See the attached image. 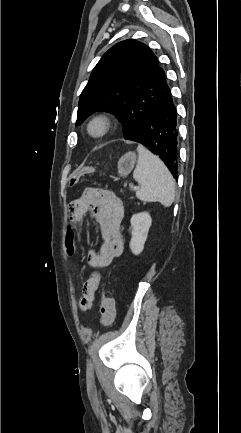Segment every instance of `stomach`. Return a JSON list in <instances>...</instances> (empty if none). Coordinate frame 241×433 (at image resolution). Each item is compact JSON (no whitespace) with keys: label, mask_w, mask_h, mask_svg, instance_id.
Instances as JSON below:
<instances>
[{"label":"stomach","mask_w":241,"mask_h":433,"mask_svg":"<svg viewBox=\"0 0 241 433\" xmlns=\"http://www.w3.org/2000/svg\"><path fill=\"white\" fill-rule=\"evenodd\" d=\"M136 163V154L134 152H128L123 155L118 161V174L121 177H126L134 168Z\"/></svg>","instance_id":"stomach-1"}]
</instances>
